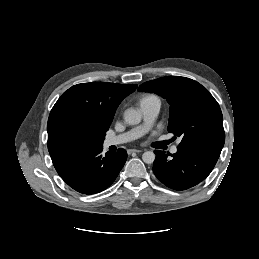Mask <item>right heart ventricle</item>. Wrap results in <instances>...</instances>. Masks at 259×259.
I'll list each match as a JSON object with an SVG mask.
<instances>
[{"label": "right heart ventricle", "instance_id": "right-heart-ventricle-1", "mask_svg": "<svg viewBox=\"0 0 259 259\" xmlns=\"http://www.w3.org/2000/svg\"><path fill=\"white\" fill-rule=\"evenodd\" d=\"M149 97H152V96H147V97H145V98H143V99H146V98H149Z\"/></svg>", "mask_w": 259, "mask_h": 259}]
</instances>
